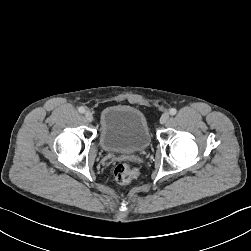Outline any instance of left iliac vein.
I'll return each mask as SVG.
<instances>
[{"label":"left iliac vein","instance_id":"4c4485c4","mask_svg":"<svg viewBox=\"0 0 251 251\" xmlns=\"http://www.w3.org/2000/svg\"><path fill=\"white\" fill-rule=\"evenodd\" d=\"M168 119H169V113L165 112L160 117V123L165 124L168 121Z\"/></svg>","mask_w":251,"mask_h":251}]
</instances>
